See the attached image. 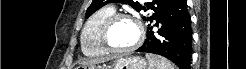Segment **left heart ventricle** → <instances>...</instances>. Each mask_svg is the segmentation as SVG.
<instances>
[{"instance_id":"left-heart-ventricle-1","label":"left heart ventricle","mask_w":246,"mask_h":69,"mask_svg":"<svg viewBox=\"0 0 246 69\" xmlns=\"http://www.w3.org/2000/svg\"><path fill=\"white\" fill-rule=\"evenodd\" d=\"M137 37V28L132 21L119 20L110 31L109 41L113 47L124 49L134 44Z\"/></svg>"}]
</instances>
